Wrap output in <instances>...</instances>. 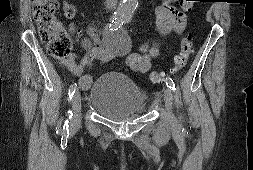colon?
<instances>
[{
  "label": "colon",
  "mask_w": 253,
  "mask_h": 170,
  "mask_svg": "<svg viewBox=\"0 0 253 170\" xmlns=\"http://www.w3.org/2000/svg\"><path fill=\"white\" fill-rule=\"evenodd\" d=\"M191 1L195 0H184V10L188 11L191 8V4H189ZM58 8V0H34L32 12L38 26L40 39L49 54L54 58L64 59L71 53L72 40L56 20L55 14ZM191 54V35L186 34L182 39L180 51L175 57V65L170 72L176 73L184 68ZM149 79L153 83L162 84L165 80V73L152 71L149 74Z\"/></svg>",
  "instance_id": "1"
}]
</instances>
